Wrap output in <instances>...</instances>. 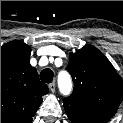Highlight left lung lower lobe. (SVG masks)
Instances as JSON below:
<instances>
[{
    "instance_id": "0a47b994",
    "label": "left lung lower lobe",
    "mask_w": 123,
    "mask_h": 123,
    "mask_svg": "<svg viewBox=\"0 0 123 123\" xmlns=\"http://www.w3.org/2000/svg\"><path fill=\"white\" fill-rule=\"evenodd\" d=\"M72 123H105V121L99 120L97 118L89 117L83 114H73L68 115Z\"/></svg>"
}]
</instances>
